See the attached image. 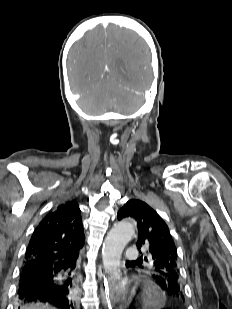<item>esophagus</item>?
Returning <instances> with one entry per match:
<instances>
[{"instance_id":"esophagus-1","label":"esophagus","mask_w":232,"mask_h":309,"mask_svg":"<svg viewBox=\"0 0 232 309\" xmlns=\"http://www.w3.org/2000/svg\"><path fill=\"white\" fill-rule=\"evenodd\" d=\"M104 281L103 284L100 288V294H101V299H102V304L104 305L105 308L112 309V305L110 302V295H111V290L114 286V281L107 276H103Z\"/></svg>"}]
</instances>
